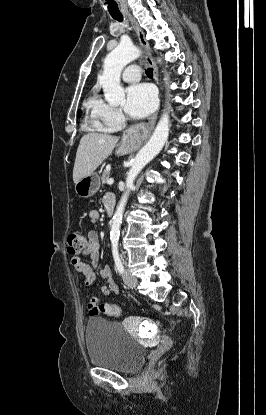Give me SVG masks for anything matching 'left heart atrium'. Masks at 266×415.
<instances>
[{
    "label": "left heart atrium",
    "instance_id": "1",
    "mask_svg": "<svg viewBox=\"0 0 266 415\" xmlns=\"http://www.w3.org/2000/svg\"><path fill=\"white\" fill-rule=\"evenodd\" d=\"M157 105L155 90L149 84H134L127 89L124 109L133 118H143Z\"/></svg>",
    "mask_w": 266,
    "mask_h": 415
}]
</instances>
